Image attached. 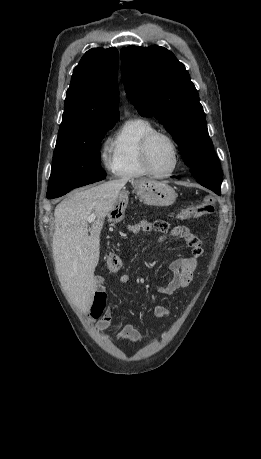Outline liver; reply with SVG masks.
<instances>
[{"instance_id":"6515ba94","label":"liver","mask_w":261,"mask_h":459,"mask_svg":"<svg viewBox=\"0 0 261 459\" xmlns=\"http://www.w3.org/2000/svg\"><path fill=\"white\" fill-rule=\"evenodd\" d=\"M126 183L122 178L73 192L55 208L52 249L56 272L66 294L82 311L90 309L97 290L94 271L104 219ZM91 214L96 220L88 230Z\"/></svg>"}]
</instances>
